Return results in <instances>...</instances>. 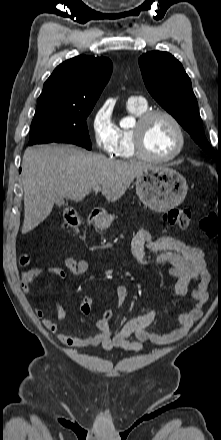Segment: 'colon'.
I'll use <instances>...</instances> for the list:
<instances>
[{
  "label": "colon",
  "instance_id": "5ec220e1",
  "mask_svg": "<svg viewBox=\"0 0 221 440\" xmlns=\"http://www.w3.org/2000/svg\"><path fill=\"white\" fill-rule=\"evenodd\" d=\"M164 220L169 225L186 228L191 220V211L185 207L171 208L164 213ZM83 223L81 215L72 208H66L63 212V225L68 230H77ZM201 229L209 236H213L217 230V221L213 215L204 217L200 222ZM28 262L27 257L22 258V264ZM92 310V300L84 298L80 303V311L83 314H88ZM104 321H111L113 314L110 309H103L101 312Z\"/></svg>",
  "mask_w": 221,
  "mask_h": 440
}]
</instances>
